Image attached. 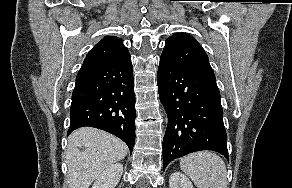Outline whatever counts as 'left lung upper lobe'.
<instances>
[{"instance_id": "left-lung-upper-lobe-1", "label": "left lung upper lobe", "mask_w": 292, "mask_h": 188, "mask_svg": "<svg viewBox=\"0 0 292 188\" xmlns=\"http://www.w3.org/2000/svg\"><path fill=\"white\" fill-rule=\"evenodd\" d=\"M161 59L216 80L207 54L191 35L177 33L167 38Z\"/></svg>"}]
</instances>
